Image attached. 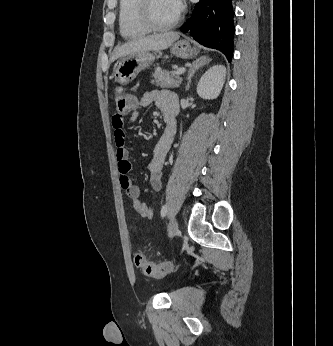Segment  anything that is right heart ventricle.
Returning <instances> with one entry per match:
<instances>
[{
  "label": "right heart ventricle",
  "instance_id": "right-heart-ventricle-1",
  "mask_svg": "<svg viewBox=\"0 0 333 346\" xmlns=\"http://www.w3.org/2000/svg\"><path fill=\"white\" fill-rule=\"evenodd\" d=\"M119 31L125 39H136L149 32L140 13V0H119Z\"/></svg>",
  "mask_w": 333,
  "mask_h": 346
}]
</instances>
